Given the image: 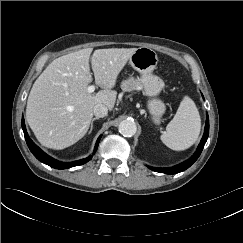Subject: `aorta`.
Wrapping results in <instances>:
<instances>
[{"mask_svg":"<svg viewBox=\"0 0 243 243\" xmlns=\"http://www.w3.org/2000/svg\"><path fill=\"white\" fill-rule=\"evenodd\" d=\"M118 130L121 135L125 137H131L136 133L137 126L132 120H123L120 122Z\"/></svg>","mask_w":243,"mask_h":243,"instance_id":"762f6f07","label":"aorta"}]
</instances>
